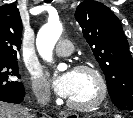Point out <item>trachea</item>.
Returning <instances> with one entry per match:
<instances>
[{"instance_id":"obj_1","label":"trachea","mask_w":133,"mask_h":118,"mask_svg":"<svg viewBox=\"0 0 133 118\" xmlns=\"http://www.w3.org/2000/svg\"><path fill=\"white\" fill-rule=\"evenodd\" d=\"M47 3L51 2V0H46Z\"/></svg>"}]
</instances>
